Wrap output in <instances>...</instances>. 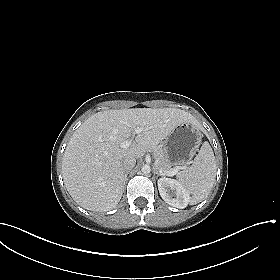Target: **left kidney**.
Wrapping results in <instances>:
<instances>
[{"mask_svg":"<svg viewBox=\"0 0 280 280\" xmlns=\"http://www.w3.org/2000/svg\"><path fill=\"white\" fill-rule=\"evenodd\" d=\"M158 190L162 199L173 207L183 209L190 201L187 190L174 179L166 177L158 179Z\"/></svg>","mask_w":280,"mask_h":280,"instance_id":"left-kidney-1","label":"left kidney"}]
</instances>
